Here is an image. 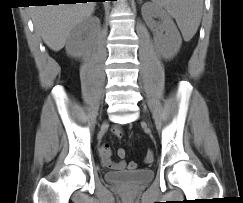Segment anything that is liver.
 Here are the masks:
<instances>
[{
    "label": "liver",
    "mask_w": 243,
    "mask_h": 203,
    "mask_svg": "<svg viewBox=\"0 0 243 203\" xmlns=\"http://www.w3.org/2000/svg\"><path fill=\"white\" fill-rule=\"evenodd\" d=\"M95 5V2H87L34 6L32 20L36 32L50 49L59 51L64 47L71 30L93 14Z\"/></svg>",
    "instance_id": "liver-1"
}]
</instances>
